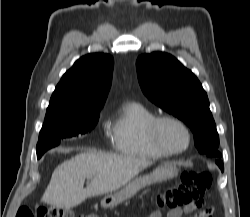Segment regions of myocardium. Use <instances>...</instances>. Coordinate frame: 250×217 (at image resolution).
<instances>
[{
  "instance_id": "1",
  "label": "myocardium",
  "mask_w": 250,
  "mask_h": 217,
  "mask_svg": "<svg viewBox=\"0 0 250 217\" xmlns=\"http://www.w3.org/2000/svg\"><path fill=\"white\" fill-rule=\"evenodd\" d=\"M164 124H173L184 132L186 144L183 148H172L163 140L162 127ZM148 134L152 143L169 155L181 154L185 152L191 144V133L187 125L182 120L170 115L156 116L148 125Z\"/></svg>"
}]
</instances>
